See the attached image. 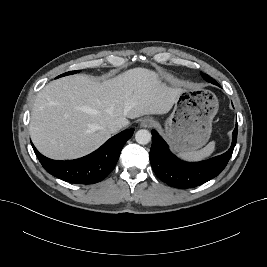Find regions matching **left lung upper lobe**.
I'll use <instances>...</instances> for the list:
<instances>
[{"label":"left lung upper lobe","mask_w":267,"mask_h":267,"mask_svg":"<svg viewBox=\"0 0 267 267\" xmlns=\"http://www.w3.org/2000/svg\"><path fill=\"white\" fill-rule=\"evenodd\" d=\"M203 78L206 80V81H208V82H211V83H213V84H215V80H213L211 77H209L208 75H206V74H203ZM217 83V82H216Z\"/></svg>","instance_id":"obj_1"}]
</instances>
